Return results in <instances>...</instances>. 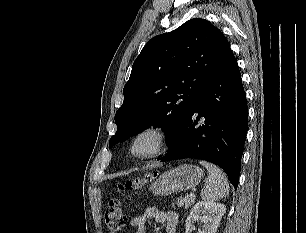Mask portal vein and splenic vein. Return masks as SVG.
<instances>
[{
    "label": "portal vein and splenic vein",
    "mask_w": 306,
    "mask_h": 233,
    "mask_svg": "<svg viewBox=\"0 0 306 233\" xmlns=\"http://www.w3.org/2000/svg\"><path fill=\"white\" fill-rule=\"evenodd\" d=\"M190 197L194 198L195 197L194 193H190Z\"/></svg>",
    "instance_id": "18ae733b"
}]
</instances>
